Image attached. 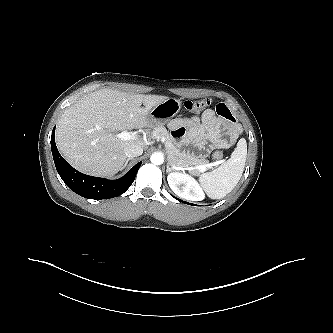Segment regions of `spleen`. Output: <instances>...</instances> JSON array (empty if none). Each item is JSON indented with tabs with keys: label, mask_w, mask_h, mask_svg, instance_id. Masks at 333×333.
<instances>
[{
	"label": "spleen",
	"mask_w": 333,
	"mask_h": 333,
	"mask_svg": "<svg viewBox=\"0 0 333 333\" xmlns=\"http://www.w3.org/2000/svg\"><path fill=\"white\" fill-rule=\"evenodd\" d=\"M247 157V143L240 139L230 158L212 172L201 174L199 182L208 197L220 199L230 193L239 182Z\"/></svg>",
	"instance_id": "spleen-1"
}]
</instances>
